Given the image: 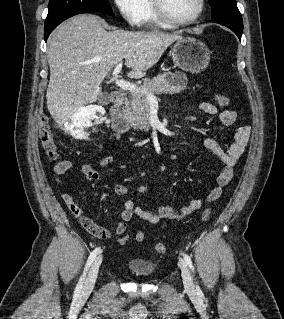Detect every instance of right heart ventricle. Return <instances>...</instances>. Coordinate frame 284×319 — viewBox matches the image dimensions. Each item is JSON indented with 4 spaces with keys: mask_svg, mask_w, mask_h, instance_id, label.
Returning a JSON list of instances; mask_svg holds the SVG:
<instances>
[{
    "mask_svg": "<svg viewBox=\"0 0 284 319\" xmlns=\"http://www.w3.org/2000/svg\"><path fill=\"white\" fill-rule=\"evenodd\" d=\"M162 24L163 23L160 20H158V18L154 14L151 1L146 0V10L142 20V25L146 27H153V26H159Z\"/></svg>",
    "mask_w": 284,
    "mask_h": 319,
    "instance_id": "right-heart-ventricle-1",
    "label": "right heart ventricle"
}]
</instances>
